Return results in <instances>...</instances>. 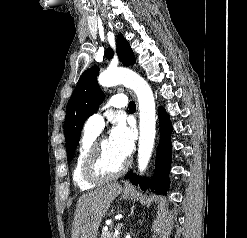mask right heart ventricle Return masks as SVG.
Masks as SVG:
<instances>
[{"label":"right heart ventricle","mask_w":247,"mask_h":238,"mask_svg":"<svg viewBox=\"0 0 247 238\" xmlns=\"http://www.w3.org/2000/svg\"><path fill=\"white\" fill-rule=\"evenodd\" d=\"M98 134L99 133L97 132L85 129L81 142H80V146H79L76 158H75L73 171H72V179H73L74 185L80 190H89L98 184V182H91L85 179L83 172H82L84 160L92 144L98 137Z\"/></svg>","instance_id":"e07e8e85"}]
</instances>
